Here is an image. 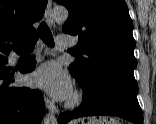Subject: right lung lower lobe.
<instances>
[{"mask_svg": "<svg viewBox=\"0 0 156 124\" xmlns=\"http://www.w3.org/2000/svg\"><path fill=\"white\" fill-rule=\"evenodd\" d=\"M21 53L23 49H15ZM11 50L0 52V124H40L44 113V100L39 90L12 86L11 68L7 66L8 55ZM32 58L20 68L22 73L30 72L35 68Z\"/></svg>", "mask_w": 156, "mask_h": 124, "instance_id": "obj_1", "label": "right lung lower lobe"}]
</instances>
